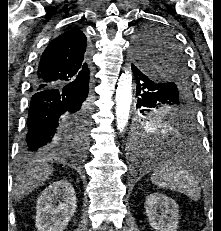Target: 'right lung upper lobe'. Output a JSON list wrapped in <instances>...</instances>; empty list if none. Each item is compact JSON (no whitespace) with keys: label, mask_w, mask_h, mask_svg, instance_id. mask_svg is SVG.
<instances>
[{"label":"right lung upper lobe","mask_w":221,"mask_h":231,"mask_svg":"<svg viewBox=\"0 0 221 231\" xmlns=\"http://www.w3.org/2000/svg\"><path fill=\"white\" fill-rule=\"evenodd\" d=\"M86 36L73 28L55 38L43 52L33 79V90L90 80L91 63Z\"/></svg>","instance_id":"1"}]
</instances>
